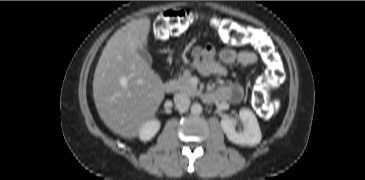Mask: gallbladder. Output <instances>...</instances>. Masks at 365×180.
<instances>
[{
	"label": "gallbladder",
	"mask_w": 365,
	"mask_h": 180,
	"mask_svg": "<svg viewBox=\"0 0 365 180\" xmlns=\"http://www.w3.org/2000/svg\"><path fill=\"white\" fill-rule=\"evenodd\" d=\"M137 53L140 55V57L148 64L151 65L152 64V57L151 55L148 53L147 50L143 49V48H137Z\"/></svg>",
	"instance_id": "bac80fb5"
}]
</instances>
